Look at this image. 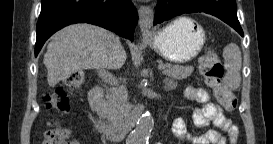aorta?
Returning a JSON list of instances; mask_svg holds the SVG:
<instances>
[{"mask_svg": "<svg viewBox=\"0 0 273 144\" xmlns=\"http://www.w3.org/2000/svg\"><path fill=\"white\" fill-rule=\"evenodd\" d=\"M153 126L154 121L152 115L149 111L144 112L130 135V144H148Z\"/></svg>", "mask_w": 273, "mask_h": 144, "instance_id": "aorta-1", "label": "aorta"}]
</instances>
